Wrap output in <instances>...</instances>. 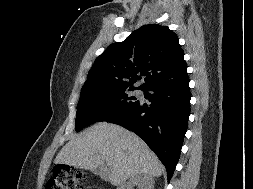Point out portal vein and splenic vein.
Instances as JSON below:
<instances>
[{
  "label": "portal vein and splenic vein",
  "mask_w": 253,
  "mask_h": 189,
  "mask_svg": "<svg viewBox=\"0 0 253 189\" xmlns=\"http://www.w3.org/2000/svg\"><path fill=\"white\" fill-rule=\"evenodd\" d=\"M106 169H105V167H104V165H103V171H105Z\"/></svg>",
  "instance_id": "portal-vein-and-splenic-vein-1"
}]
</instances>
